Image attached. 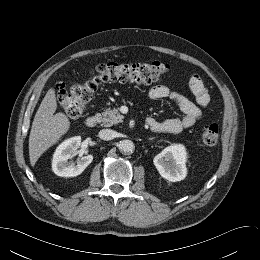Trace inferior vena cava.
<instances>
[{
  "mask_svg": "<svg viewBox=\"0 0 260 260\" xmlns=\"http://www.w3.org/2000/svg\"><path fill=\"white\" fill-rule=\"evenodd\" d=\"M98 136L102 140H111L114 138V131L111 129H102L100 130Z\"/></svg>",
  "mask_w": 260,
  "mask_h": 260,
  "instance_id": "obj_1",
  "label": "inferior vena cava"
}]
</instances>
